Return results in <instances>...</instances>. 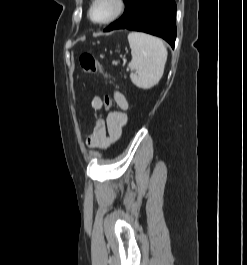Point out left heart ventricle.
<instances>
[{
    "instance_id": "obj_1",
    "label": "left heart ventricle",
    "mask_w": 247,
    "mask_h": 265,
    "mask_svg": "<svg viewBox=\"0 0 247 265\" xmlns=\"http://www.w3.org/2000/svg\"><path fill=\"white\" fill-rule=\"evenodd\" d=\"M113 11V5L110 0H100L93 9V17L96 20L107 18Z\"/></svg>"
}]
</instances>
